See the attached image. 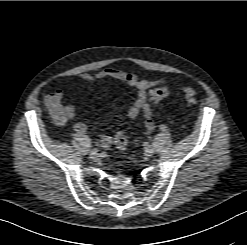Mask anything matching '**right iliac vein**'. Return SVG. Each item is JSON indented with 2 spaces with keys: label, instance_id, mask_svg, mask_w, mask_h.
<instances>
[{
  "label": "right iliac vein",
  "instance_id": "obj_1",
  "mask_svg": "<svg viewBox=\"0 0 247 245\" xmlns=\"http://www.w3.org/2000/svg\"><path fill=\"white\" fill-rule=\"evenodd\" d=\"M98 157H99V154L97 152H91L90 153V158L97 159Z\"/></svg>",
  "mask_w": 247,
  "mask_h": 245
}]
</instances>
